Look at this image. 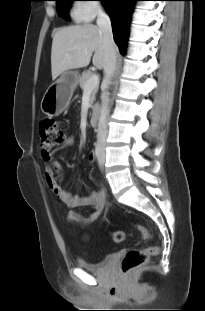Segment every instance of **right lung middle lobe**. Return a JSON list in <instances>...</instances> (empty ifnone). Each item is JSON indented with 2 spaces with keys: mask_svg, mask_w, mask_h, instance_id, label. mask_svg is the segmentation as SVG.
Wrapping results in <instances>:
<instances>
[{
  "mask_svg": "<svg viewBox=\"0 0 205 311\" xmlns=\"http://www.w3.org/2000/svg\"><path fill=\"white\" fill-rule=\"evenodd\" d=\"M56 1V7L59 16L68 19V9L70 7V3L74 0H54Z\"/></svg>",
  "mask_w": 205,
  "mask_h": 311,
  "instance_id": "right-lung-middle-lobe-1",
  "label": "right lung middle lobe"
}]
</instances>
